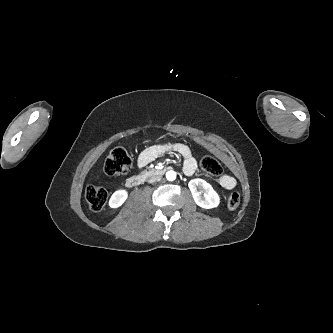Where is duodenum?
Listing matches in <instances>:
<instances>
[{"instance_id":"obj_1","label":"duodenum","mask_w":333,"mask_h":333,"mask_svg":"<svg viewBox=\"0 0 333 333\" xmlns=\"http://www.w3.org/2000/svg\"><path fill=\"white\" fill-rule=\"evenodd\" d=\"M166 172L165 168L152 169L148 172L133 175L126 180L127 187H137L143 184L148 178L158 177L164 175Z\"/></svg>"}]
</instances>
